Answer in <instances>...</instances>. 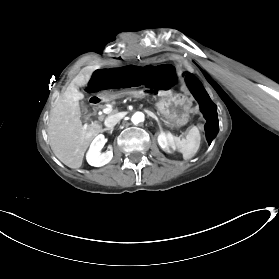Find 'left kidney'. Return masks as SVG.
I'll list each match as a JSON object with an SVG mask.
<instances>
[{
    "label": "left kidney",
    "instance_id": "left-kidney-1",
    "mask_svg": "<svg viewBox=\"0 0 279 279\" xmlns=\"http://www.w3.org/2000/svg\"><path fill=\"white\" fill-rule=\"evenodd\" d=\"M157 140L160 147L166 152H170V148L175 147V137L171 133H165L163 131H160Z\"/></svg>",
    "mask_w": 279,
    "mask_h": 279
}]
</instances>
